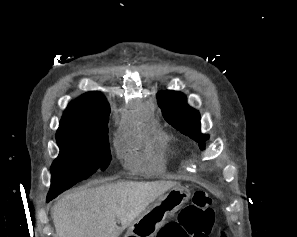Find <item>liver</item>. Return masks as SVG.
Instances as JSON below:
<instances>
[{"label": "liver", "instance_id": "6515ba94", "mask_svg": "<svg viewBox=\"0 0 297 237\" xmlns=\"http://www.w3.org/2000/svg\"><path fill=\"white\" fill-rule=\"evenodd\" d=\"M176 185L172 181L118 182L78 189L52 208L57 237H119L150 203Z\"/></svg>", "mask_w": 297, "mask_h": 237}]
</instances>
